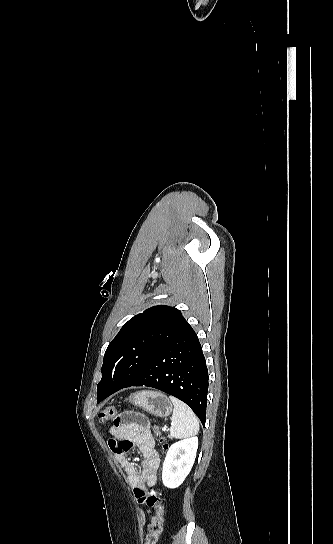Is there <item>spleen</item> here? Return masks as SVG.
Instances as JSON below:
<instances>
[{
	"instance_id": "obj_1",
	"label": "spleen",
	"mask_w": 333,
	"mask_h": 544,
	"mask_svg": "<svg viewBox=\"0 0 333 544\" xmlns=\"http://www.w3.org/2000/svg\"><path fill=\"white\" fill-rule=\"evenodd\" d=\"M174 405L170 434L175 438L192 436L199 431V422L187 404L174 396L169 397Z\"/></svg>"
}]
</instances>
